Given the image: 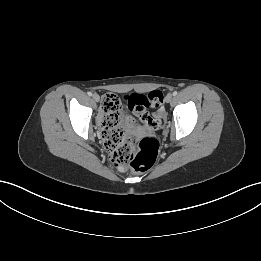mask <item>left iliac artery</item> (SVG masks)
<instances>
[{"label": "left iliac artery", "instance_id": "1", "mask_svg": "<svg viewBox=\"0 0 261 261\" xmlns=\"http://www.w3.org/2000/svg\"><path fill=\"white\" fill-rule=\"evenodd\" d=\"M176 95H177V91H174V92H173V96H176Z\"/></svg>", "mask_w": 261, "mask_h": 261}]
</instances>
